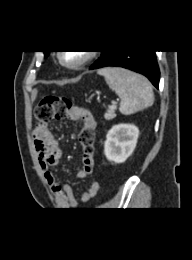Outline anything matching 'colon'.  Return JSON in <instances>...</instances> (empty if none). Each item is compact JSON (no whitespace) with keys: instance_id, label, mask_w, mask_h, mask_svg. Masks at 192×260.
Here are the masks:
<instances>
[{"instance_id":"1","label":"colon","mask_w":192,"mask_h":260,"mask_svg":"<svg viewBox=\"0 0 192 260\" xmlns=\"http://www.w3.org/2000/svg\"><path fill=\"white\" fill-rule=\"evenodd\" d=\"M88 110L75 106L69 99L60 96H46L36 106L34 119L38 124H44L53 119L70 118L72 116H87ZM78 138L83 146L84 154L94 153L95 131L89 123L83 124L78 132Z\"/></svg>"}]
</instances>
